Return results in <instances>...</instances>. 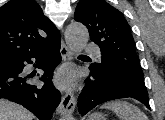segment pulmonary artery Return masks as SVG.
I'll return each instance as SVG.
<instances>
[{
  "label": "pulmonary artery",
  "instance_id": "pulmonary-artery-1",
  "mask_svg": "<svg viewBox=\"0 0 165 120\" xmlns=\"http://www.w3.org/2000/svg\"><path fill=\"white\" fill-rule=\"evenodd\" d=\"M84 51L88 54H92V55H99L100 54V50L96 45L93 44H87L84 47Z\"/></svg>",
  "mask_w": 165,
  "mask_h": 120
}]
</instances>
